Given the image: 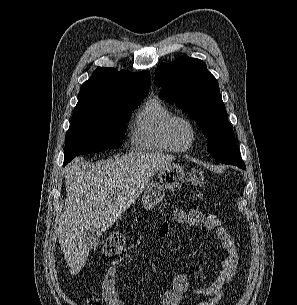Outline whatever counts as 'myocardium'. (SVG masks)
<instances>
[{
    "label": "myocardium",
    "instance_id": "obj_1",
    "mask_svg": "<svg viewBox=\"0 0 297 305\" xmlns=\"http://www.w3.org/2000/svg\"><path fill=\"white\" fill-rule=\"evenodd\" d=\"M179 122L185 123L188 126L189 131H190V138H189L187 144H185V145H182L178 141L176 134H175V126ZM166 132H167V136H168L170 142L173 144V146L178 151H182V152L188 151L189 149H191L196 140V137H197V130H196V126H195L194 122L191 119H189L188 117L182 116V115H175L169 120V122L167 123Z\"/></svg>",
    "mask_w": 297,
    "mask_h": 305
}]
</instances>
